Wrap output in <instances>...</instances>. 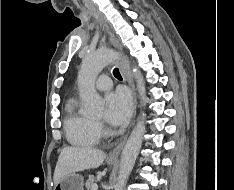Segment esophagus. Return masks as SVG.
<instances>
[{"mask_svg":"<svg viewBox=\"0 0 234 190\" xmlns=\"http://www.w3.org/2000/svg\"><path fill=\"white\" fill-rule=\"evenodd\" d=\"M108 31V29H107ZM109 33V40L110 42L113 44L114 47L118 48V49H121L120 45H119V42L117 41V39L115 38V36L108 32ZM121 70H122V73L125 77V79L127 80L131 90H132V95H133V122H132V125L134 124V118H135V115H136V108H137V98H136V91H135V85H134V81L132 79V76H131V73L128 69V67H126L124 64L121 65ZM127 138V135L119 142V144L113 149L110 151L109 155H108V158L109 159H118L119 155H120V152L124 146V143H125V140Z\"/></svg>","mask_w":234,"mask_h":190,"instance_id":"34e87169","label":"esophagus"}]
</instances>
